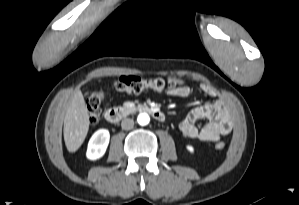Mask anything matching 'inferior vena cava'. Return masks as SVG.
<instances>
[{"instance_id": "inferior-vena-cava-1", "label": "inferior vena cava", "mask_w": 299, "mask_h": 205, "mask_svg": "<svg viewBox=\"0 0 299 205\" xmlns=\"http://www.w3.org/2000/svg\"><path fill=\"white\" fill-rule=\"evenodd\" d=\"M133 126H134V121H133V119L125 118V119H123L122 122H121V127H122V129H124V130H130V129L133 128Z\"/></svg>"}]
</instances>
